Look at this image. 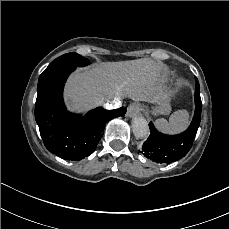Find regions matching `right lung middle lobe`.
Here are the masks:
<instances>
[{
  "label": "right lung middle lobe",
  "mask_w": 229,
  "mask_h": 229,
  "mask_svg": "<svg viewBox=\"0 0 229 229\" xmlns=\"http://www.w3.org/2000/svg\"><path fill=\"white\" fill-rule=\"evenodd\" d=\"M90 62L88 59L82 57L81 55L77 53H67L64 54L55 60H53L49 66L43 71V73L40 75V77H43L50 72H53L60 68L65 67H84L88 65Z\"/></svg>",
  "instance_id": "right-lung-middle-lobe-1"
}]
</instances>
